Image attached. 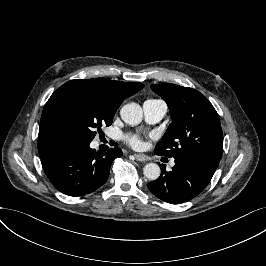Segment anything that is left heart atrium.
<instances>
[{"instance_id": "1", "label": "left heart atrium", "mask_w": 266, "mask_h": 266, "mask_svg": "<svg viewBox=\"0 0 266 266\" xmlns=\"http://www.w3.org/2000/svg\"><path fill=\"white\" fill-rule=\"evenodd\" d=\"M126 141L133 147H139L143 144L142 140L135 135H129L125 137Z\"/></svg>"}]
</instances>
